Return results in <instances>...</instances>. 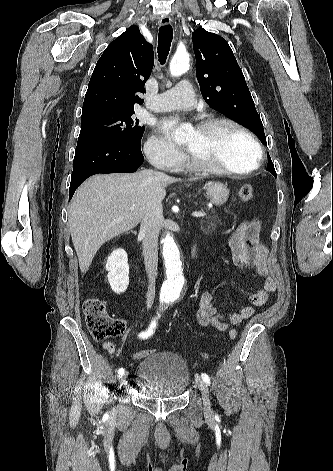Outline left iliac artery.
I'll list each match as a JSON object with an SVG mask.
<instances>
[{"instance_id": "obj_1", "label": "left iliac artery", "mask_w": 333, "mask_h": 471, "mask_svg": "<svg viewBox=\"0 0 333 471\" xmlns=\"http://www.w3.org/2000/svg\"><path fill=\"white\" fill-rule=\"evenodd\" d=\"M202 379L204 380L205 383L210 384V378L206 373L201 374Z\"/></svg>"}]
</instances>
